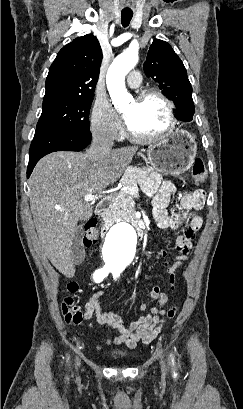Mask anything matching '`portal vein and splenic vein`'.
Listing matches in <instances>:
<instances>
[{
	"instance_id": "18ae733b",
	"label": "portal vein and splenic vein",
	"mask_w": 243,
	"mask_h": 409,
	"mask_svg": "<svg viewBox=\"0 0 243 409\" xmlns=\"http://www.w3.org/2000/svg\"><path fill=\"white\" fill-rule=\"evenodd\" d=\"M120 191H123L125 193L130 194V195H135V194L138 193L139 189H138L137 186H135V187H123V188L120 189ZM102 198H105V197L103 195H100V194L99 195L87 194V195L84 196L83 200L85 202H94V201L102 199Z\"/></svg>"
}]
</instances>
